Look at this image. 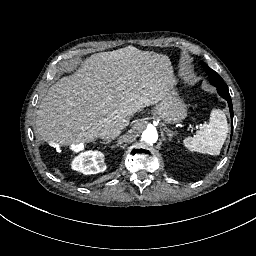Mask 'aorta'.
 <instances>
[{
	"label": "aorta",
	"instance_id": "762f6f07",
	"mask_svg": "<svg viewBox=\"0 0 256 256\" xmlns=\"http://www.w3.org/2000/svg\"><path fill=\"white\" fill-rule=\"evenodd\" d=\"M146 133V136H143V134ZM142 140L145 141L146 143H156L158 140V133L155 127L152 128H147L146 130L143 131L142 133Z\"/></svg>",
	"mask_w": 256,
	"mask_h": 256
}]
</instances>
